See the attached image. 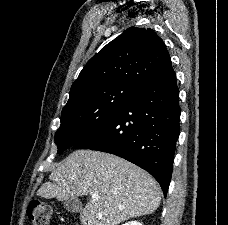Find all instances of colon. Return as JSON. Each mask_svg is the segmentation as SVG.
Returning <instances> with one entry per match:
<instances>
[{
  "label": "colon",
  "mask_w": 228,
  "mask_h": 225,
  "mask_svg": "<svg viewBox=\"0 0 228 225\" xmlns=\"http://www.w3.org/2000/svg\"><path fill=\"white\" fill-rule=\"evenodd\" d=\"M27 215L33 225H50V208L42 201L32 200L28 205Z\"/></svg>",
  "instance_id": "obj_1"
}]
</instances>
